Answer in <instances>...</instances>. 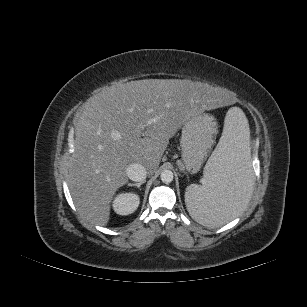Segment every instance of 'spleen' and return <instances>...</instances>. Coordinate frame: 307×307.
I'll list each match as a JSON object with an SVG mask.
<instances>
[{
    "label": "spleen",
    "instance_id": "spleen-1",
    "mask_svg": "<svg viewBox=\"0 0 307 307\" xmlns=\"http://www.w3.org/2000/svg\"><path fill=\"white\" fill-rule=\"evenodd\" d=\"M250 130L245 114L229 109L222 136L204 167L202 185L191 184L185 203L198 223L215 228L237 217L253 192L250 167Z\"/></svg>",
    "mask_w": 307,
    "mask_h": 307
}]
</instances>
